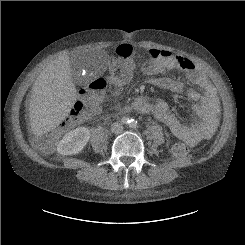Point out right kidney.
<instances>
[{
    "instance_id": "1",
    "label": "right kidney",
    "mask_w": 245,
    "mask_h": 245,
    "mask_svg": "<svg viewBox=\"0 0 245 245\" xmlns=\"http://www.w3.org/2000/svg\"><path fill=\"white\" fill-rule=\"evenodd\" d=\"M90 138L88 128L79 127L66 133L57 146L61 155L77 154L84 149Z\"/></svg>"
}]
</instances>
